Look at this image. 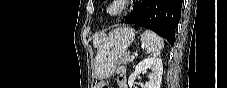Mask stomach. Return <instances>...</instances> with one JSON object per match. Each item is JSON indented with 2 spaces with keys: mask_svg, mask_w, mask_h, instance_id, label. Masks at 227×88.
<instances>
[{
  "mask_svg": "<svg viewBox=\"0 0 227 88\" xmlns=\"http://www.w3.org/2000/svg\"><path fill=\"white\" fill-rule=\"evenodd\" d=\"M134 38V30L123 26L114 29L101 40L94 60V73L98 78L104 79L114 73L118 61L125 56Z\"/></svg>",
  "mask_w": 227,
  "mask_h": 88,
  "instance_id": "1",
  "label": "stomach"
}]
</instances>
